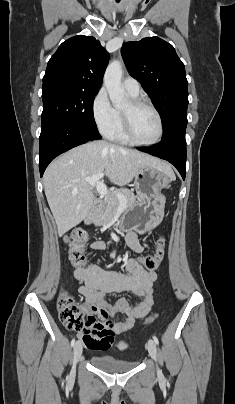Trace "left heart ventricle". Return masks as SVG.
I'll return each instance as SVG.
<instances>
[{
    "mask_svg": "<svg viewBox=\"0 0 235 404\" xmlns=\"http://www.w3.org/2000/svg\"><path fill=\"white\" fill-rule=\"evenodd\" d=\"M122 110L129 111L130 103ZM132 132L141 142H151L158 135V120L156 115L148 108L142 107L131 112Z\"/></svg>",
    "mask_w": 235,
    "mask_h": 404,
    "instance_id": "b2bd125f",
    "label": "left heart ventricle"
}]
</instances>
